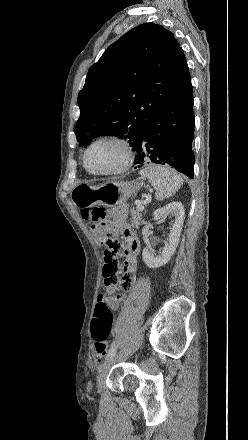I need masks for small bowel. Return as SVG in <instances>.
<instances>
[{"instance_id":"obj_1","label":"small bowel","mask_w":248,"mask_h":440,"mask_svg":"<svg viewBox=\"0 0 248 440\" xmlns=\"http://www.w3.org/2000/svg\"><path fill=\"white\" fill-rule=\"evenodd\" d=\"M126 210L120 208L114 213V223L117 227L123 228L125 236L124 264L121 266L120 257L102 258V288L106 289L107 296L99 295L98 303L104 304L111 310H117L124 298V292L116 294L122 285L123 290L130 288L133 278L137 274V255L140 249V243L135 233L126 225ZM121 267L124 274L121 276ZM116 294V295H111Z\"/></svg>"}]
</instances>
